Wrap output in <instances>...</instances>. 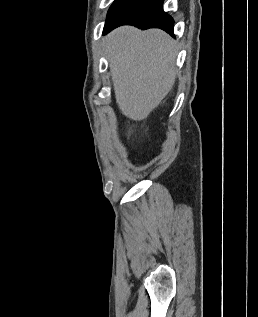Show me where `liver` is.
Wrapping results in <instances>:
<instances>
[{"label":"liver","mask_w":258,"mask_h":317,"mask_svg":"<svg viewBox=\"0 0 258 317\" xmlns=\"http://www.w3.org/2000/svg\"><path fill=\"white\" fill-rule=\"evenodd\" d=\"M105 46L120 110L132 120L147 118L175 82L176 40L160 28L119 26Z\"/></svg>","instance_id":"1"}]
</instances>
